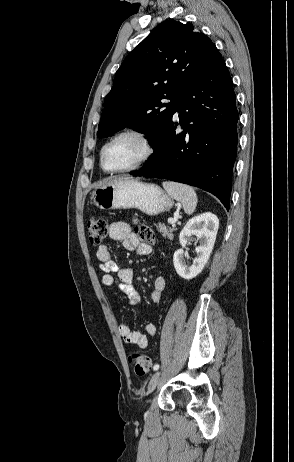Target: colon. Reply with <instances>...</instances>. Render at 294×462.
Returning <instances> with one entry per match:
<instances>
[{"label":"colon","instance_id":"1","mask_svg":"<svg viewBox=\"0 0 294 462\" xmlns=\"http://www.w3.org/2000/svg\"><path fill=\"white\" fill-rule=\"evenodd\" d=\"M87 235L89 242L93 245L100 244L106 237L108 226L107 222L100 217H90L86 221ZM135 234L143 243L153 244L155 242L154 232L147 225H136ZM128 361L133 368V371L139 375H145L151 368L152 361L149 356L131 352L128 356Z\"/></svg>","mask_w":294,"mask_h":462}]
</instances>
